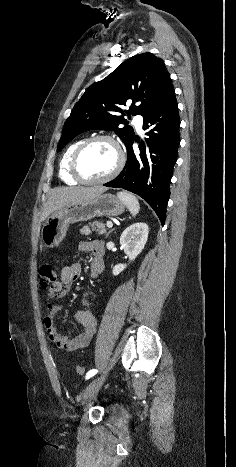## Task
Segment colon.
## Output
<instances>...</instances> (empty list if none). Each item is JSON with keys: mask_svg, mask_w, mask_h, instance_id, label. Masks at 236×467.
Masks as SVG:
<instances>
[{"mask_svg": "<svg viewBox=\"0 0 236 467\" xmlns=\"http://www.w3.org/2000/svg\"><path fill=\"white\" fill-rule=\"evenodd\" d=\"M58 271L57 267L52 262H47L41 265L40 267V280L41 286L45 290H51L57 282ZM76 373L79 375L84 374V368L80 365H77Z\"/></svg>", "mask_w": 236, "mask_h": 467, "instance_id": "5ec220e1", "label": "colon"}]
</instances>
